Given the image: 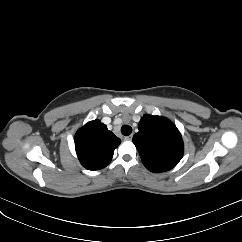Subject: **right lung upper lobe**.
Listing matches in <instances>:
<instances>
[{"mask_svg": "<svg viewBox=\"0 0 242 242\" xmlns=\"http://www.w3.org/2000/svg\"><path fill=\"white\" fill-rule=\"evenodd\" d=\"M121 140L99 120L90 121L75 135V149L81 164L88 170L106 167Z\"/></svg>", "mask_w": 242, "mask_h": 242, "instance_id": "1", "label": "right lung upper lobe"}]
</instances>
